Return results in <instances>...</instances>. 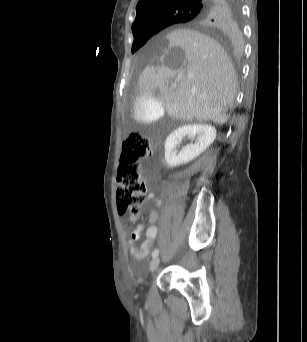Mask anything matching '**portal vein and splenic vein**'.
<instances>
[{"instance_id":"obj_1","label":"portal vein and splenic vein","mask_w":307,"mask_h":342,"mask_svg":"<svg viewBox=\"0 0 307 342\" xmlns=\"http://www.w3.org/2000/svg\"><path fill=\"white\" fill-rule=\"evenodd\" d=\"M190 76H193V74H188V78H190ZM176 86H177V82H172L171 88H176Z\"/></svg>"}]
</instances>
